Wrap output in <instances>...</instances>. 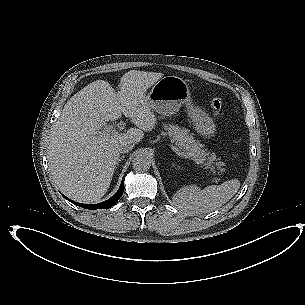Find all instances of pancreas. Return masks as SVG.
<instances>
[{"label":"pancreas","mask_w":305,"mask_h":305,"mask_svg":"<svg viewBox=\"0 0 305 305\" xmlns=\"http://www.w3.org/2000/svg\"><path fill=\"white\" fill-rule=\"evenodd\" d=\"M165 130L167 131L166 134L172 142H175L180 151L189 155L193 160L204 163L210 172L215 174L217 170L219 172L224 171L220 159L203 148V145L198 140H195L189 129L178 125H169L165 127Z\"/></svg>","instance_id":"cf45deb5"}]
</instances>
